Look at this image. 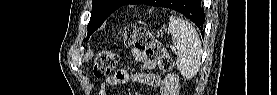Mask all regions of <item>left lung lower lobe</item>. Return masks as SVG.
<instances>
[{"mask_svg": "<svg viewBox=\"0 0 277 95\" xmlns=\"http://www.w3.org/2000/svg\"><path fill=\"white\" fill-rule=\"evenodd\" d=\"M152 0H131L128 4H145L150 5ZM160 7H166L180 12L187 18L192 20L198 28L201 30V34L204 31V13L201 7L200 0H160ZM170 3L171 6L169 5Z\"/></svg>", "mask_w": 277, "mask_h": 95, "instance_id": "obj_1", "label": "left lung lower lobe"}]
</instances>
